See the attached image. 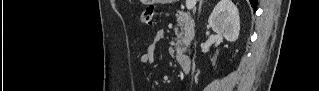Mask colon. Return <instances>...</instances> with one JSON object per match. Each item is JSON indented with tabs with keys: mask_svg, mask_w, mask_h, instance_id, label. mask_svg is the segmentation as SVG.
<instances>
[{
	"mask_svg": "<svg viewBox=\"0 0 319 91\" xmlns=\"http://www.w3.org/2000/svg\"><path fill=\"white\" fill-rule=\"evenodd\" d=\"M154 12L155 8L153 6L146 7L140 15L141 22L145 25L152 26Z\"/></svg>",
	"mask_w": 319,
	"mask_h": 91,
	"instance_id": "colon-1",
	"label": "colon"
}]
</instances>
